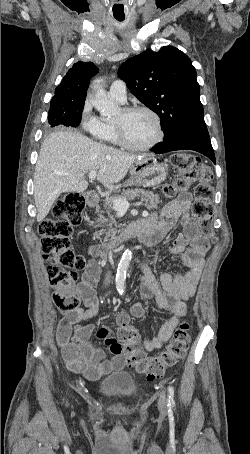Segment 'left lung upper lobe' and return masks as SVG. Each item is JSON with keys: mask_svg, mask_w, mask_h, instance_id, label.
<instances>
[{"mask_svg": "<svg viewBox=\"0 0 250 454\" xmlns=\"http://www.w3.org/2000/svg\"><path fill=\"white\" fill-rule=\"evenodd\" d=\"M119 76L144 105L158 114L164 141L186 126L204 122L196 70L179 49H148L124 62Z\"/></svg>", "mask_w": 250, "mask_h": 454, "instance_id": "5c2ea615", "label": "left lung upper lobe"}]
</instances>
